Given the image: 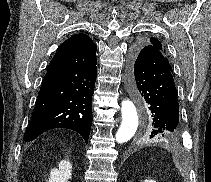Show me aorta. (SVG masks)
I'll list each match as a JSON object with an SVG mask.
<instances>
[{
    "mask_svg": "<svg viewBox=\"0 0 211 182\" xmlns=\"http://www.w3.org/2000/svg\"><path fill=\"white\" fill-rule=\"evenodd\" d=\"M122 123L115 138L118 143L129 141L136 133L139 117L137 109L132 101L123 100L121 103Z\"/></svg>",
    "mask_w": 211,
    "mask_h": 182,
    "instance_id": "1",
    "label": "aorta"
}]
</instances>
